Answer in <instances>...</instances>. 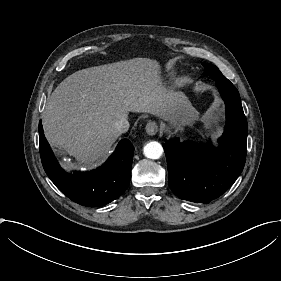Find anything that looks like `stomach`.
<instances>
[{"label":"stomach","mask_w":281,"mask_h":281,"mask_svg":"<svg viewBox=\"0 0 281 281\" xmlns=\"http://www.w3.org/2000/svg\"><path fill=\"white\" fill-rule=\"evenodd\" d=\"M194 112L195 109L188 99L186 105L179 104L176 111L166 119L169 122L166 130L169 132L170 129H175L176 132L183 131L185 126L193 122Z\"/></svg>","instance_id":"0dacf381"}]
</instances>
